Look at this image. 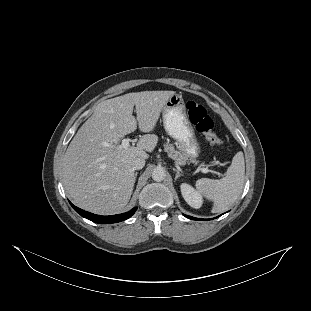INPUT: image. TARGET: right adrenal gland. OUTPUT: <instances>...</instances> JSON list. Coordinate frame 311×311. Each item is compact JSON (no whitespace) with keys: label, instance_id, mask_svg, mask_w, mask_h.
Instances as JSON below:
<instances>
[{"label":"right adrenal gland","instance_id":"right-adrenal-gland-1","mask_svg":"<svg viewBox=\"0 0 311 311\" xmlns=\"http://www.w3.org/2000/svg\"><path fill=\"white\" fill-rule=\"evenodd\" d=\"M137 175H138V172L135 173V177H137Z\"/></svg>","mask_w":311,"mask_h":311}]
</instances>
